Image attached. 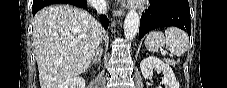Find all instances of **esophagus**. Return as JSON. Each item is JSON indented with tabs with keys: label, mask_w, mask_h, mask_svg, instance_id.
Instances as JSON below:
<instances>
[{
	"label": "esophagus",
	"mask_w": 227,
	"mask_h": 88,
	"mask_svg": "<svg viewBox=\"0 0 227 88\" xmlns=\"http://www.w3.org/2000/svg\"><path fill=\"white\" fill-rule=\"evenodd\" d=\"M112 13H113V16H114V17H117V16H124L125 10H124V9H117V8H114V9L112 10Z\"/></svg>",
	"instance_id": "1"
}]
</instances>
